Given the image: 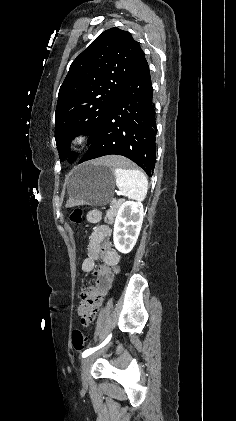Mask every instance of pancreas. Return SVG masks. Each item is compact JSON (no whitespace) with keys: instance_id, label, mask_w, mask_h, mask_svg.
<instances>
[{"instance_id":"1","label":"pancreas","mask_w":236,"mask_h":421,"mask_svg":"<svg viewBox=\"0 0 236 421\" xmlns=\"http://www.w3.org/2000/svg\"><path fill=\"white\" fill-rule=\"evenodd\" d=\"M122 204V200H112L111 206L109 208V211L106 213L105 217V223H109V225H112L114 223V217H116V213L118 211V208H120Z\"/></svg>"}]
</instances>
